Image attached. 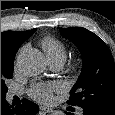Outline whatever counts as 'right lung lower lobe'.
Segmentation results:
<instances>
[{
  "mask_svg": "<svg viewBox=\"0 0 115 115\" xmlns=\"http://www.w3.org/2000/svg\"><path fill=\"white\" fill-rule=\"evenodd\" d=\"M38 111L39 107L27 99H23L22 104L15 107L9 105L5 98L1 99V115H35Z\"/></svg>",
  "mask_w": 115,
  "mask_h": 115,
  "instance_id": "98d812e1",
  "label": "right lung lower lobe"
}]
</instances>
